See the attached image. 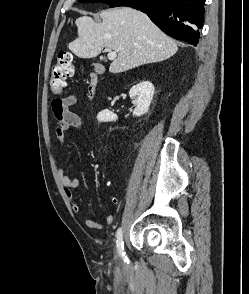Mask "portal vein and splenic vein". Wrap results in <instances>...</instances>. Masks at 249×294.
<instances>
[{
    "label": "portal vein and splenic vein",
    "instance_id": "portal-vein-and-splenic-vein-1",
    "mask_svg": "<svg viewBox=\"0 0 249 294\" xmlns=\"http://www.w3.org/2000/svg\"><path fill=\"white\" fill-rule=\"evenodd\" d=\"M109 60H114L117 57V53L115 51H112L111 49H109V53L107 55Z\"/></svg>",
    "mask_w": 249,
    "mask_h": 294
}]
</instances>
